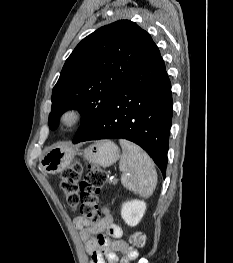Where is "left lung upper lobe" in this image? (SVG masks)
Returning a JSON list of instances; mask_svg holds the SVG:
<instances>
[{
  "label": "left lung upper lobe",
  "mask_w": 233,
  "mask_h": 263,
  "mask_svg": "<svg viewBox=\"0 0 233 263\" xmlns=\"http://www.w3.org/2000/svg\"><path fill=\"white\" fill-rule=\"evenodd\" d=\"M152 43L145 30L128 20L103 26L84 38L66 60L53 88L50 128L56 129L62 113L76 108L82 121L73 142H79Z\"/></svg>",
  "instance_id": "1"
}]
</instances>
